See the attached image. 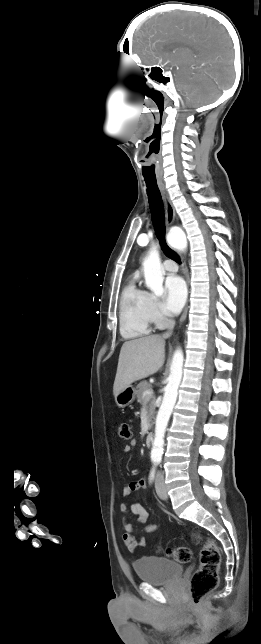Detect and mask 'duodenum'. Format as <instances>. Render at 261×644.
I'll return each mask as SVG.
<instances>
[{"mask_svg":"<svg viewBox=\"0 0 261 644\" xmlns=\"http://www.w3.org/2000/svg\"><path fill=\"white\" fill-rule=\"evenodd\" d=\"M152 442H153V433L148 432L145 436V445L147 447H150L152 445Z\"/></svg>","mask_w":261,"mask_h":644,"instance_id":"1","label":"duodenum"}]
</instances>
